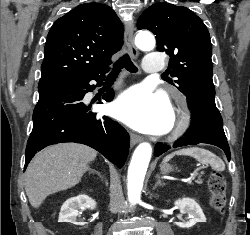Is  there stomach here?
Here are the masks:
<instances>
[{
  "instance_id": "0dacf381",
  "label": "stomach",
  "mask_w": 250,
  "mask_h": 235,
  "mask_svg": "<svg viewBox=\"0 0 250 235\" xmlns=\"http://www.w3.org/2000/svg\"><path fill=\"white\" fill-rule=\"evenodd\" d=\"M160 170L162 173H169L173 170V168L169 164L163 163L160 165Z\"/></svg>"
}]
</instances>
